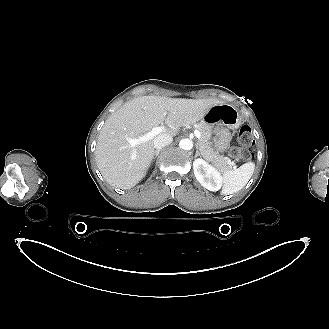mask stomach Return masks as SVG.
I'll return each instance as SVG.
<instances>
[{
	"instance_id": "1",
	"label": "stomach",
	"mask_w": 329,
	"mask_h": 329,
	"mask_svg": "<svg viewBox=\"0 0 329 329\" xmlns=\"http://www.w3.org/2000/svg\"><path fill=\"white\" fill-rule=\"evenodd\" d=\"M203 119L208 123L219 122L232 130L237 129L242 123L239 111L226 103L212 106Z\"/></svg>"
}]
</instances>
